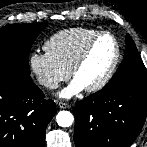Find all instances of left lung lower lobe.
Segmentation results:
<instances>
[{
	"label": "left lung lower lobe",
	"mask_w": 147,
	"mask_h": 147,
	"mask_svg": "<svg viewBox=\"0 0 147 147\" xmlns=\"http://www.w3.org/2000/svg\"><path fill=\"white\" fill-rule=\"evenodd\" d=\"M147 114V85L123 84L102 89L74 110L76 147H129Z\"/></svg>",
	"instance_id": "obj_1"
}]
</instances>
